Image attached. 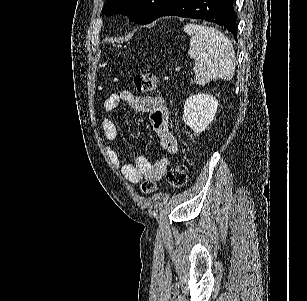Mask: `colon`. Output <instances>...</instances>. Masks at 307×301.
<instances>
[{
  "mask_svg": "<svg viewBox=\"0 0 307 301\" xmlns=\"http://www.w3.org/2000/svg\"><path fill=\"white\" fill-rule=\"evenodd\" d=\"M134 84L138 92H151L158 88L159 78L151 73L145 72L138 74L134 78ZM166 179L174 188H182L187 182V167L184 163L179 162L174 164L167 172ZM141 190L145 194L152 193L157 190L154 182L147 180L142 183Z\"/></svg>",
  "mask_w": 307,
  "mask_h": 301,
  "instance_id": "1",
  "label": "colon"
}]
</instances>
